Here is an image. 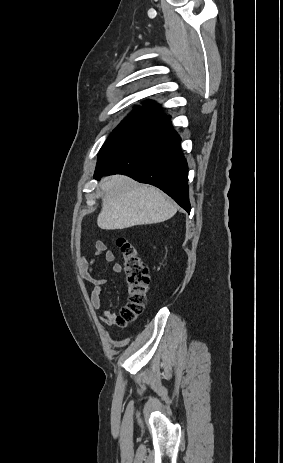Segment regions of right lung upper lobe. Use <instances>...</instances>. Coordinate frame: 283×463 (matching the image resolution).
Masks as SVG:
<instances>
[{"label":"right lung upper lobe","mask_w":283,"mask_h":463,"mask_svg":"<svg viewBox=\"0 0 283 463\" xmlns=\"http://www.w3.org/2000/svg\"><path fill=\"white\" fill-rule=\"evenodd\" d=\"M144 105H145V107L156 110V111H158V109H159V107L153 102L145 103Z\"/></svg>","instance_id":"right-lung-upper-lobe-1"}]
</instances>
